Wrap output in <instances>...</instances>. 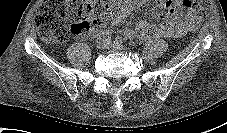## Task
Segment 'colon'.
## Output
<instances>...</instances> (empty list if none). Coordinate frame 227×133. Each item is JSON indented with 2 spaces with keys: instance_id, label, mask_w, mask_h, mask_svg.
<instances>
[{
  "instance_id": "1",
  "label": "colon",
  "mask_w": 227,
  "mask_h": 133,
  "mask_svg": "<svg viewBox=\"0 0 227 133\" xmlns=\"http://www.w3.org/2000/svg\"><path fill=\"white\" fill-rule=\"evenodd\" d=\"M182 4L200 17H207L211 12L209 0H182ZM118 12L111 0H45L35 23L42 40L62 43L71 33L101 28L107 17L116 16Z\"/></svg>"
}]
</instances>
